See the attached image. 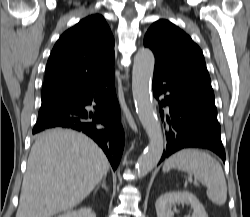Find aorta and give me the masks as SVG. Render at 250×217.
<instances>
[{
	"label": "aorta",
	"instance_id": "762f6f07",
	"mask_svg": "<svg viewBox=\"0 0 250 217\" xmlns=\"http://www.w3.org/2000/svg\"><path fill=\"white\" fill-rule=\"evenodd\" d=\"M155 58L148 48H141L135 55L132 71V92L136 111L149 137V144L137 160L139 176H146L161 159L164 139L150 91Z\"/></svg>",
	"mask_w": 250,
	"mask_h": 217
}]
</instances>
